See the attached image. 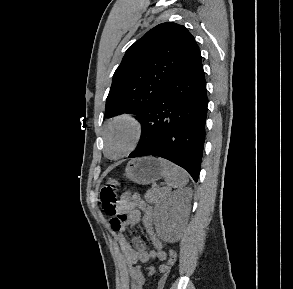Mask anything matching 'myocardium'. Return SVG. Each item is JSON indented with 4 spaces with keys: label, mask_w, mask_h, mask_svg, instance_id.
<instances>
[{
    "label": "myocardium",
    "mask_w": 293,
    "mask_h": 289,
    "mask_svg": "<svg viewBox=\"0 0 293 289\" xmlns=\"http://www.w3.org/2000/svg\"><path fill=\"white\" fill-rule=\"evenodd\" d=\"M119 123H125L131 127L132 134H133L132 141L123 153H121L118 156H111V155H109L108 149H107L108 135H109L110 130L115 125H117ZM143 134H144V124H143V121L139 115H137L135 113H122L120 115L115 116L112 120L109 121V123L106 125L105 130L103 132L105 155L108 158L113 159V160L121 159V158L129 155L139 145V143L143 137Z\"/></svg>",
    "instance_id": "1"
}]
</instances>
